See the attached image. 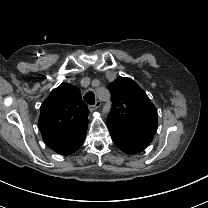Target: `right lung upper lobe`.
I'll list each match as a JSON object with an SVG mask.
<instances>
[{"label": "right lung upper lobe", "instance_id": "1", "mask_svg": "<svg viewBox=\"0 0 208 208\" xmlns=\"http://www.w3.org/2000/svg\"><path fill=\"white\" fill-rule=\"evenodd\" d=\"M89 110L71 84L55 88L40 107L38 126L45 144L68 139L88 125Z\"/></svg>", "mask_w": 208, "mask_h": 208}]
</instances>
